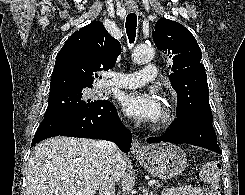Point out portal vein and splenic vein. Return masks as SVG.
<instances>
[{
    "mask_svg": "<svg viewBox=\"0 0 245 195\" xmlns=\"http://www.w3.org/2000/svg\"><path fill=\"white\" fill-rule=\"evenodd\" d=\"M78 183H80V182L78 181ZM156 183H157V181L151 180V181L148 182V185L151 186V185H154Z\"/></svg>",
    "mask_w": 245,
    "mask_h": 195,
    "instance_id": "obj_1",
    "label": "portal vein and splenic vein"
}]
</instances>
